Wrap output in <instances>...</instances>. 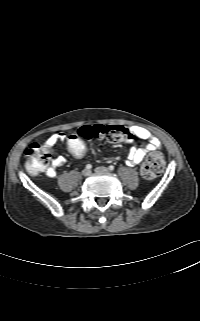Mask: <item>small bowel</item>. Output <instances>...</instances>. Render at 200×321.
I'll list each match as a JSON object with an SVG mask.
<instances>
[{"mask_svg":"<svg viewBox=\"0 0 200 321\" xmlns=\"http://www.w3.org/2000/svg\"><path fill=\"white\" fill-rule=\"evenodd\" d=\"M131 133L135 137L145 140L147 142L145 146L130 147L127 154L126 163L130 166H134L141 163L148 153H151L157 150L160 147L161 142L156 136L151 134L149 130L140 126L131 127ZM67 137L69 136H67L65 133H62V132L54 133L46 139V141L44 142V146L46 149H51L58 142L65 141ZM65 162H66V159L63 156H57L54 159H52L50 165L48 167L46 166L43 169V171L45 172L46 176L50 178H54L57 174V169L63 166Z\"/></svg>","mask_w":200,"mask_h":321,"instance_id":"small-bowel-1","label":"small bowel"}]
</instances>
